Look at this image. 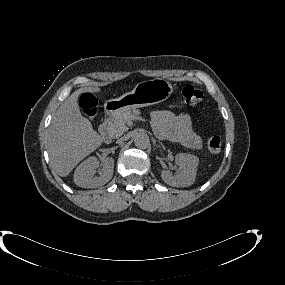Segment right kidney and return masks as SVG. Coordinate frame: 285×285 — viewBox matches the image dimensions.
Returning a JSON list of instances; mask_svg holds the SVG:
<instances>
[{"label": "right kidney", "mask_w": 285, "mask_h": 285, "mask_svg": "<svg viewBox=\"0 0 285 285\" xmlns=\"http://www.w3.org/2000/svg\"><path fill=\"white\" fill-rule=\"evenodd\" d=\"M99 166L100 163L96 157L85 159L74 172V183L82 188H97L109 182L113 176L114 159L105 158L101 163L100 176H94Z\"/></svg>", "instance_id": "ca27d5eb"}]
</instances>
